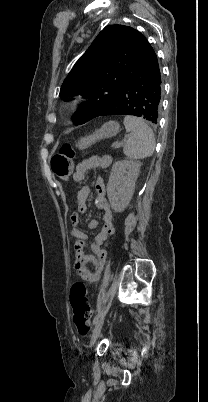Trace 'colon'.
<instances>
[{"label":"colon","mask_w":208,"mask_h":402,"mask_svg":"<svg viewBox=\"0 0 208 402\" xmlns=\"http://www.w3.org/2000/svg\"><path fill=\"white\" fill-rule=\"evenodd\" d=\"M75 150L69 143H64L51 159L50 167L54 175L63 180L71 177ZM71 303L74 324L81 336L88 335L91 325L92 307L87 298L85 285L76 281L71 287Z\"/></svg>","instance_id":"obj_1"}]
</instances>
